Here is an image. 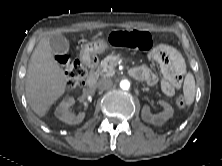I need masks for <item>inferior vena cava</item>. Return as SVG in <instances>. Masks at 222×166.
Masks as SVG:
<instances>
[{
  "label": "inferior vena cava",
  "mask_w": 222,
  "mask_h": 166,
  "mask_svg": "<svg viewBox=\"0 0 222 166\" xmlns=\"http://www.w3.org/2000/svg\"><path fill=\"white\" fill-rule=\"evenodd\" d=\"M97 86L101 90H109L112 88L113 82L110 78H102L98 81Z\"/></svg>",
  "instance_id": "obj_1"
}]
</instances>
